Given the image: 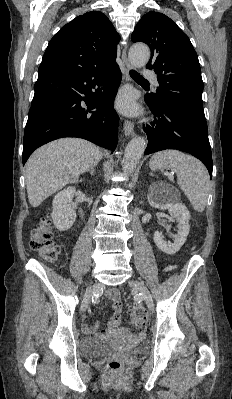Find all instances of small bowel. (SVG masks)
I'll return each mask as SVG.
<instances>
[{"label":"small bowel","mask_w":232,"mask_h":399,"mask_svg":"<svg viewBox=\"0 0 232 399\" xmlns=\"http://www.w3.org/2000/svg\"><path fill=\"white\" fill-rule=\"evenodd\" d=\"M117 296H118L117 292L114 290H110L108 292L109 298H117ZM113 312H114L113 319L104 326L99 327V326L91 325L86 322H80L78 324V327L86 332L91 333V334L105 336V335L111 333L117 327L119 320H120V315L122 312L121 304L116 303L113 307Z\"/></svg>","instance_id":"1"}]
</instances>
